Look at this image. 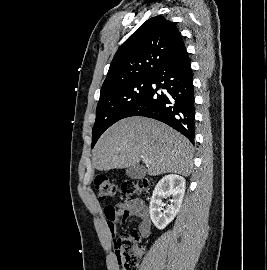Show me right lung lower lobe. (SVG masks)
<instances>
[{
    "mask_svg": "<svg viewBox=\"0 0 267 270\" xmlns=\"http://www.w3.org/2000/svg\"><path fill=\"white\" fill-rule=\"evenodd\" d=\"M156 84L157 88H153ZM159 88L164 92H158ZM145 116L166 123L194 144V88L185 45L178 47L151 76L144 97L126 115Z\"/></svg>",
    "mask_w": 267,
    "mask_h": 270,
    "instance_id": "98d812e1",
    "label": "right lung lower lobe"
}]
</instances>
